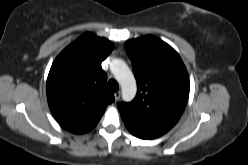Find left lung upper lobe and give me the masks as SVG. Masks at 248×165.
I'll return each mask as SVG.
<instances>
[{"label":"left lung upper lobe","instance_id":"left-lung-upper-lobe-1","mask_svg":"<svg viewBox=\"0 0 248 165\" xmlns=\"http://www.w3.org/2000/svg\"><path fill=\"white\" fill-rule=\"evenodd\" d=\"M126 51L137 80L130 103H119L121 115L142 126L168 132L180 119L189 97V77L179 54L161 39L128 40Z\"/></svg>","mask_w":248,"mask_h":165}]
</instances>
